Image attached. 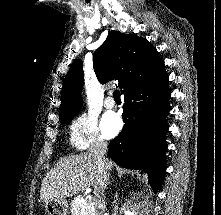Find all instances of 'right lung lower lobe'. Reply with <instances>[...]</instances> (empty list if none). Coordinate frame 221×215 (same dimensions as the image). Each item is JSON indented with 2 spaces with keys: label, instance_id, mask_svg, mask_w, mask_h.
<instances>
[{
  "label": "right lung lower lobe",
  "instance_id": "98d812e1",
  "mask_svg": "<svg viewBox=\"0 0 221 215\" xmlns=\"http://www.w3.org/2000/svg\"><path fill=\"white\" fill-rule=\"evenodd\" d=\"M168 80L163 69L124 93L125 125L108 149L109 156L120 166L146 172L154 191L160 188L166 168V116L171 96Z\"/></svg>",
  "mask_w": 221,
  "mask_h": 215
}]
</instances>
